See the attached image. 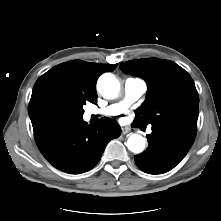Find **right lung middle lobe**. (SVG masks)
I'll list each match as a JSON object with an SVG mask.
<instances>
[{
	"label": "right lung middle lobe",
	"instance_id": "dd1d6c3e",
	"mask_svg": "<svg viewBox=\"0 0 221 221\" xmlns=\"http://www.w3.org/2000/svg\"><path fill=\"white\" fill-rule=\"evenodd\" d=\"M95 103V102H92ZM86 104V100H80L69 107L64 115L63 118H82L84 110L83 105Z\"/></svg>",
	"mask_w": 221,
	"mask_h": 221
}]
</instances>
